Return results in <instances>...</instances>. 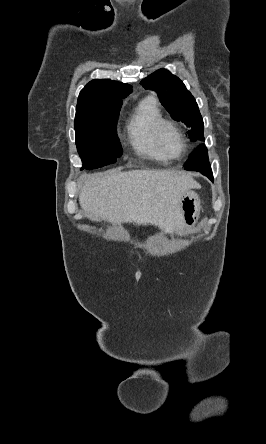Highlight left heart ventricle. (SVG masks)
<instances>
[{"label":"left heart ventricle","mask_w":266,"mask_h":444,"mask_svg":"<svg viewBox=\"0 0 266 444\" xmlns=\"http://www.w3.org/2000/svg\"><path fill=\"white\" fill-rule=\"evenodd\" d=\"M161 142L170 156H178L181 151V140L172 127H165L161 134Z\"/></svg>","instance_id":"left-heart-ventricle-1"}]
</instances>
